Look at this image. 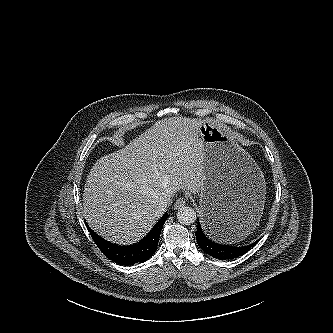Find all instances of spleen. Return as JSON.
<instances>
[{"label": "spleen", "instance_id": "obj_1", "mask_svg": "<svg viewBox=\"0 0 333 333\" xmlns=\"http://www.w3.org/2000/svg\"><path fill=\"white\" fill-rule=\"evenodd\" d=\"M247 220H251V226H247ZM257 225L253 215L247 216L244 220L238 221L237 224H231L225 231L221 233V240L233 242L235 240L245 238L250 231Z\"/></svg>", "mask_w": 333, "mask_h": 333}]
</instances>
